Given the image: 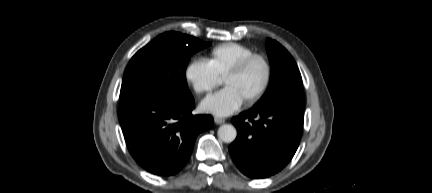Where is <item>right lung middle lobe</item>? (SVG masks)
<instances>
[{
  "label": "right lung middle lobe",
  "mask_w": 432,
  "mask_h": 193,
  "mask_svg": "<svg viewBox=\"0 0 432 193\" xmlns=\"http://www.w3.org/2000/svg\"><path fill=\"white\" fill-rule=\"evenodd\" d=\"M210 44L178 32H166L140 49L122 80L120 102L142 94L180 100L192 96L186 81L191 56Z\"/></svg>",
  "instance_id": "dd1d6c3e"
}]
</instances>
